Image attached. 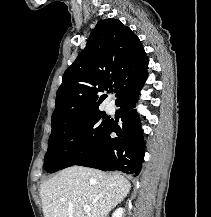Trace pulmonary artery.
Returning a JSON list of instances; mask_svg holds the SVG:
<instances>
[{"label": "pulmonary artery", "mask_w": 211, "mask_h": 217, "mask_svg": "<svg viewBox=\"0 0 211 217\" xmlns=\"http://www.w3.org/2000/svg\"><path fill=\"white\" fill-rule=\"evenodd\" d=\"M106 109L108 112H112L114 110V106L112 104H108Z\"/></svg>", "instance_id": "pulmonary-artery-1"}]
</instances>
